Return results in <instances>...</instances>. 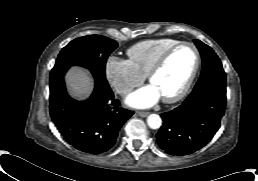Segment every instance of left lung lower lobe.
Wrapping results in <instances>:
<instances>
[{
    "instance_id": "obj_1",
    "label": "left lung lower lobe",
    "mask_w": 258,
    "mask_h": 181,
    "mask_svg": "<svg viewBox=\"0 0 258 181\" xmlns=\"http://www.w3.org/2000/svg\"><path fill=\"white\" fill-rule=\"evenodd\" d=\"M226 82L212 81L193 89L182 105L161 114L159 147L170 155H188L204 147L225 113Z\"/></svg>"
}]
</instances>
